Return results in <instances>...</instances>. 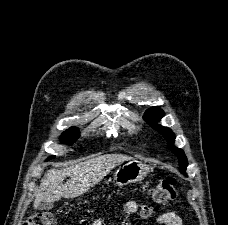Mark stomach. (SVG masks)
<instances>
[{"instance_id":"stomach-1","label":"stomach","mask_w":228,"mask_h":225,"mask_svg":"<svg viewBox=\"0 0 228 225\" xmlns=\"http://www.w3.org/2000/svg\"><path fill=\"white\" fill-rule=\"evenodd\" d=\"M149 171L148 165H145L142 161L132 159V161H128L115 171V183L118 187H124V185H130V183H140L145 177H148Z\"/></svg>"}]
</instances>
